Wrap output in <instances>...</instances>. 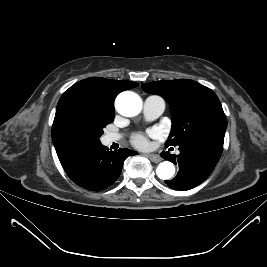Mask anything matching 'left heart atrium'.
I'll return each instance as SVG.
<instances>
[{
  "mask_svg": "<svg viewBox=\"0 0 267 267\" xmlns=\"http://www.w3.org/2000/svg\"><path fill=\"white\" fill-rule=\"evenodd\" d=\"M150 135H154L155 132L151 131ZM132 143L139 148H146L148 146V137L145 134L139 133L133 136Z\"/></svg>",
  "mask_w": 267,
  "mask_h": 267,
  "instance_id": "left-heart-atrium-1",
  "label": "left heart atrium"
}]
</instances>
